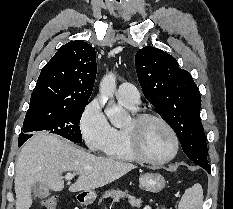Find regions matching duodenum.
<instances>
[{
	"instance_id": "obj_1",
	"label": "duodenum",
	"mask_w": 233,
	"mask_h": 209,
	"mask_svg": "<svg viewBox=\"0 0 233 209\" xmlns=\"http://www.w3.org/2000/svg\"><path fill=\"white\" fill-rule=\"evenodd\" d=\"M81 202H84L85 198L84 197H80L79 199Z\"/></svg>"
}]
</instances>
